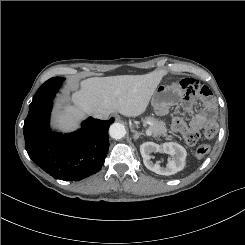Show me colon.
Instances as JSON below:
<instances>
[{
  "label": "colon",
  "mask_w": 245,
  "mask_h": 245,
  "mask_svg": "<svg viewBox=\"0 0 245 245\" xmlns=\"http://www.w3.org/2000/svg\"><path fill=\"white\" fill-rule=\"evenodd\" d=\"M172 127L175 131H178L183 135L185 141L189 145H195L198 142L199 133L196 130L189 128L181 118H175L173 120ZM217 131L218 126L213 121L208 122L204 128V134L208 138L213 137L217 133ZM209 151L210 147L208 145H200L196 149V156L198 158H203L209 153Z\"/></svg>",
  "instance_id": "1"
}]
</instances>
